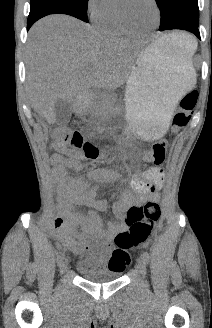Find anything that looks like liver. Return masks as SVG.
<instances>
[{
  "mask_svg": "<svg viewBox=\"0 0 212 328\" xmlns=\"http://www.w3.org/2000/svg\"><path fill=\"white\" fill-rule=\"evenodd\" d=\"M139 54L134 41L102 35L71 16L39 20L29 31L26 53L33 110L55 123L57 100L72 103L90 88L112 91L121 87Z\"/></svg>",
  "mask_w": 212,
  "mask_h": 328,
  "instance_id": "1",
  "label": "liver"
}]
</instances>
